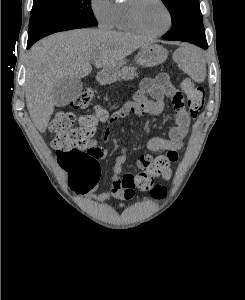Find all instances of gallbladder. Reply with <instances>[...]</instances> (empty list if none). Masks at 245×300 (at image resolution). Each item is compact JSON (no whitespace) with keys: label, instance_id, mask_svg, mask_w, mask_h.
I'll return each mask as SVG.
<instances>
[{"label":"gallbladder","instance_id":"obj_1","mask_svg":"<svg viewBox=\"0 0 245 300\" xmlns=\"http://www.w3.org/2000/svg\"><path fill=\"white\" fill-rule=\"evenodd\" d=\"M82 90L80 79L70 78L60 80L53 88V98L57 107L68 105Z\"/></svg>","mask_w":245,"mask_h":300}]
</instances>
